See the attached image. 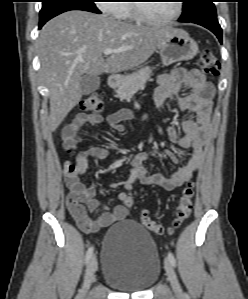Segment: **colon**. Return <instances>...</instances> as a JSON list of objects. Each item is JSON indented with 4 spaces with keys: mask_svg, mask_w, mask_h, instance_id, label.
<instances>
[{
    "mask_svg": "<svg viewBox=\"0 0 248 299\" xmlns=\"http://www.w3.org/2000/svg\"><path fill=\"white\" fill-rule=\"evenodd\" d=\"M197 63L199 69L208 75L217 77L220 73V63L215 54L209 49L201 50ZM103 108L104 103L98 92L90 93L81 103V109L89 113H100ZM70 150L71 147H68V151ZM75 170L73 165H69L67 168L68 178L66 182L69 187L67 207L73 216L81 218L86 214V207L84 205L83 183L75 176ZM194 195V185L193 183H188L183 189L176 206L173 222L168 228L169 232L180 228L183 222L188 218L193 208ZM124 205L126 208L131 207L132 199L130 197L126 198ZM140 221L146 229L158 235H162L166 232L165 227L152 220L146 210L141 212Z\"/></svg>",
    "mask_w": 248,
    "mask_h": 299,
    "instance_id": "1",
    "label": "colon"
}]
</instances>
